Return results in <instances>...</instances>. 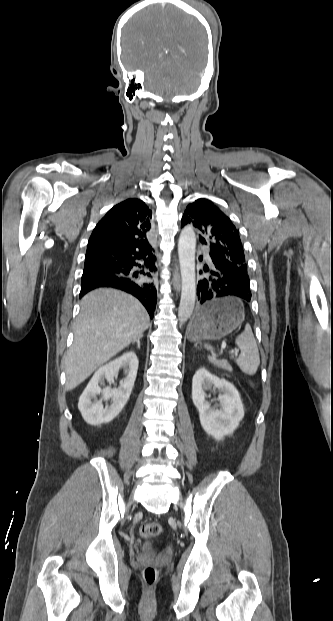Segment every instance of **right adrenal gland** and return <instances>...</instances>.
<instances>
[{
	"instance_id": "2a0ac1e0",
	"label": "right adrenal gland",
	"mask_w": 333,
	"mask_h": 621,
	"mask_svg": "<svg viewBox=\"0 0 333 621\" xmlns=\"http://www.w3.org/2000/svg\"><path fill=\"white\" fill-rule=\"evenodd\" d=\"M141 338H142V337H138L136 340L132 341V344H135V342L137 343V347H138L139 349H140V345H141V344H140V339H141Z\"/></svg>"
}]
</instances>
